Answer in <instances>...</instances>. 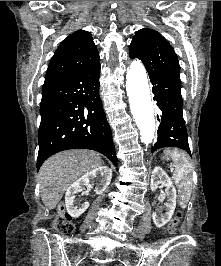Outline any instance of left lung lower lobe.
<instances>
[{
	"label": "left lung lower lobe",
	"mask_w": 221,
	"mask_h": 266,
	"mask_svg": "<svg viewBox=\"0 0 221 266\" xmlns=\"http://www.w3.org/2000/svg\"><path fill=\"white\" fill-rule=\"evenodd\" d=\"M153 85V99L157 101L160 122L157 142L151 151L163 147H178L188 153L187 131L182 112L181 82L163 76H149Z\"/></svg>",
	"instance_id": "0a47b994"
}]
</instances>
